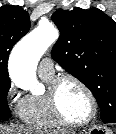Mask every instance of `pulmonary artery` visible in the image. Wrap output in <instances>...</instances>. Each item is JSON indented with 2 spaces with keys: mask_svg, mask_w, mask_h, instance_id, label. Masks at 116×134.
<instances>
[{
  "mask_svg": "<svg viewBox=\"0 0 116 134\" xmlns=\"http://www.w3.org/2000/svg\"><path fill=\"white\" fill-rule=\"evenodd\" d=\"M54 62L50 57L43 58L38 66L39 74H54Z\"/></svg>",
  "mask_w": 116,
  "mask_h": 134,
  "instance_id": "pulmonary-artery-1",
  "label": "pulmonary artery"
}]
</instances>
